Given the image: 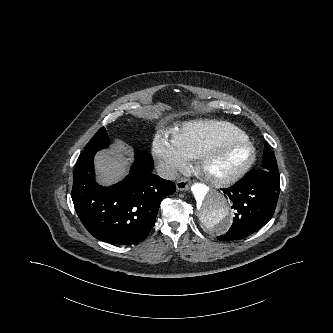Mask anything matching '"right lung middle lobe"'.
I'll return each instance as SVG.
<instances>
[{"mask_svg": "<svg viewBox=\"0 0 333 333\" xmlns=\"http://www.w3.org/2000/svg\"><path fill=\"white\" fill-rule=\"evenodd\" d=\"M108 145L109 138L106 129L102 127L89 141L83 152H97L98 150L106 148Z\"/></svg>", "mask_w": 333, "mask_h": 333, "instance_id": "1", "label": "right lung middle lobe"}]
</instances>
